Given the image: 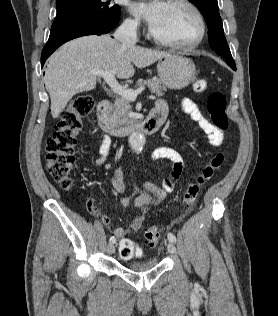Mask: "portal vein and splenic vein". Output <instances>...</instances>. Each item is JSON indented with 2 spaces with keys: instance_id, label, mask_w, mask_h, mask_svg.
<instances>
[{
  "instance_id": "obj_1",
  "label": "portal vein and splenic vein",
  "mask_w": 278,
  "mask_h": 316,
  "mask_svg": "<svg viewBox=\"0 0 278 316\" xmlns=\"http://www.w3.org/2000/svg\"><path fill=\"white\" fill-rule=\"evenodd\" d=\"M92 74L102 77L114 93H116V94L130 100V101H135L137 98V95L145 89L144 86H140L136 90L124 88L116 80V78H115L116 71L115 70H111V71L94 70V71H92Z\"/></svg>"
}]
</instances>
